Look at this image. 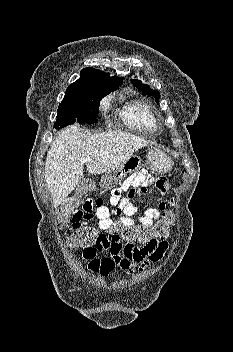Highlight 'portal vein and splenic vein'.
<instances>
[{
  "label": "portal vein and splenic vein",
  "mask_w": 233,
  "mask_h": 352,
  "mask_svg": "<svg viewBox=\"0 0 233 352\" xmlns=\"http://www.w3.org/2000/svg\"><path fill=\"white\" fill-rule=\"evenodd\" d=\"M90 161H92V159H91L90 157H86V158L84 159V162H90Z\"/></svg>",
  "instance_id": "1"
}]
</instances>
